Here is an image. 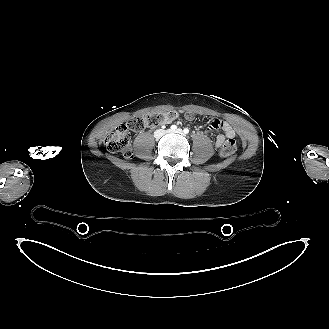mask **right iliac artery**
Segmentation results:
<instances>
[{
    "label": "right iliac artery",
    "mask_w": 329,
    "mask_h": 329,
    "mask_svg": "<svg viewBox=\"0 0 329 329\" xmlns=\"http://www.w3.org/2000/svg\"><path fill=\"white\" fill-rule=\"evenodd\" d=\"M170 128H171V130H176L177 129V126L176 125H172Z\"/></svg>",
    "instance_id": "82829eb1"
}]
</instances>
